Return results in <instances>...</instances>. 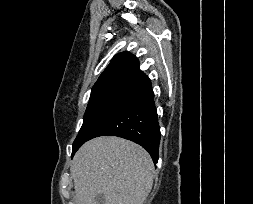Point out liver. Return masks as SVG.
Wrapping results in <instances>:
<instances>
[{
    "instance_id": "liver-1",
    "label": "liver",
    "mask_w": 253,
    "mask_h": 204,
    "mask_svg": "<svg viewBox=\"0 0 253 204\" xmlns=\"http://www.w3.org/2000/svg\"><path fill=\"white\" fill-rule=\"evenodd\" d=\"M75 204H143L153 185L154 164L140 145L116 136L86 142L75 154L71 168Z\"/></svg>"
}]
</instances>
